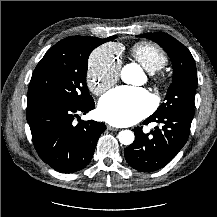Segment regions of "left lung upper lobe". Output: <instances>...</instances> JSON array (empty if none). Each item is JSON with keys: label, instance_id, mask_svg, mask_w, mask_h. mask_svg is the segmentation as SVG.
<instances>
[{"label": "left lung upper lobe", "instance_id": "left-lung-upper-lobe-1", "mask_svg": "<svg viewBox=\"0 0 217 217\" xmlns=\"http://www.w3.org/2000/svg\"><path fill=\"white\" fill-rule=\"evenodd\" d=\"M137 37L158 43L168 54L173 66V80L165 102L151 115L153 117L176 112L194 116V99L198 84L195 60L190 51L172 36L163 33H147Z\"/></svg>", "mask_w": 217, "mask_h": 217}]
</instances>
